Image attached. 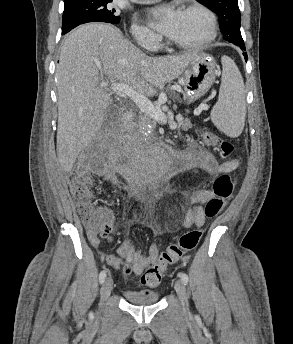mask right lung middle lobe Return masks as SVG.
<instances>
[{
  "label": "right lung middle lobe",
  "mask_w": 293,
  "mask_h": 344,
  "mask_svg": "<svg viewBox=\"0 0 293 344\" xmlns=\"http://www.w3.org/2000/svg\"><path fill=\"white\" fill-rule=\"evenodd\" d=\"M112 0H77L64 3L62 34L76 26L88 22H107L118 24L120 16L115 15L110 3Z\"/></svg>",
  "instance_id": "right-lung-middle-lobe-1"
}]
</instances>
